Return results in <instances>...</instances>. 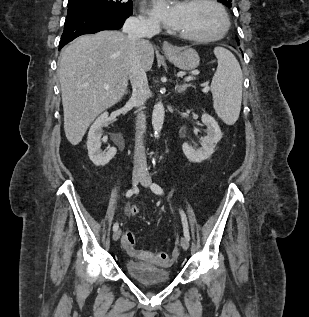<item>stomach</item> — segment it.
<instances>
[{
	"instance_id": "stomach-1",
	"label": "stomach",
	"mask_w": 309,
	"mask_h": 317,
	"mask_svg": "<svg viewBox=\"0 0 309 317\" xmlns=\"http://www.w3.org/2000/svg\"><path fill=\"white\" fill-rule=\"evenodd\" d=\"M165 55L170 62L182 70L195 69L200 63L198 53L192 48H174L165 52Z\"/></svg>"
}]
</instances>
